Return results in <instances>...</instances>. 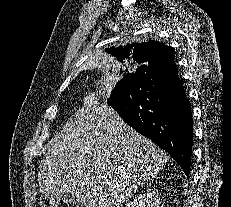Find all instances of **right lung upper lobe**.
<instances>
[{
    "mask_svg": "<svg viewBox=\"0 0 231 207\" xmlns=\"http://www.w3.org/2000/svg\"><path fill=\"white\" fill-rule=\"evenodd\" d=\"M106 51L115 57L114 63L120 66L130 63L132 60L141 64L139 68L155 64L168 69L176 65L174 63V49L158 41L150 40L147 43L111 47L107 48Z\"/></svg>",
    "mask_w": 231,
    "mask_h": 207,
    "instance_id": "cb5924a9",
    "label": "right lung upper lobe"
}]
</instances>
